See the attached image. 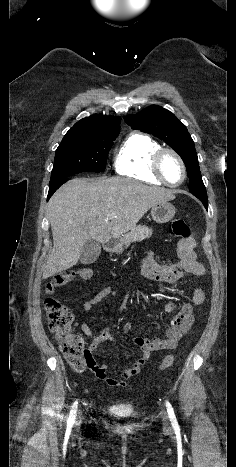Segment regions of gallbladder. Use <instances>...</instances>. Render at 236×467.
I'll list each match as a JSON object with an SVG mask.
<instances>
[{"instance_id":"bac80fb5","label":"gallbladder","mask_w":236,"mask_h":467,"mask_svg":"<svg viewBox=\"0 0 236 467\" xmlns=\"http://www.w3.org/2000/svg\"><path fill=\"white\" fill-rule=\"evenodd\" d=\"M101 253L100 243L94 239H89L82 247L80 253L81 264L87 265L94 263Z\"/></svg>"}]
</instances>
